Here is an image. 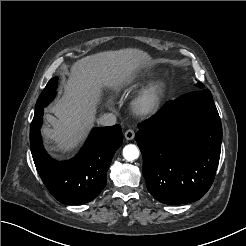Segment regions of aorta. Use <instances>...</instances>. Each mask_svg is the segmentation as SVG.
<instances>
[{
    "label": "aorta",
    "mask_w": 246,
    "mask_h": 246,
    "mask_svg": "<svg viewBox=\"0 0 246 246\" xmlns=\"http://www.w3.org/2000/svg\"><path fill=\"white\" fill-rule=\"evenodd\" d=\"M140 151L134 144H128L123 148V157L125 160L132 162L139 157Z\"/></svg>",
    "instance_id": "aorta-1"
}]
</instances>
